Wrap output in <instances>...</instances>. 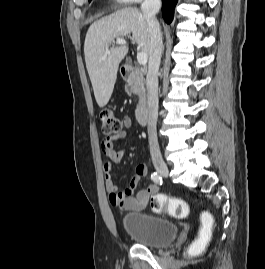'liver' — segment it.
I'll return each mask as SVG.
<instances>
[{
    "mask_svg": "<svg viewBox=\"0 0 265 269\" xmlns=\"http://www.w3.org/2000/svg\"><path fill=\"white\" fill-rule=\"evenodd\" d=\"M132 34L142 52L150 53V32L143 14L135 7L120 9L95 21L88 29L84 55L96 102L104 107L113 92L120 62L128 46L110 47L117 38ZM110 47V49H109ZM106 49L109 53L106 54Z\"/></svg>",
    "mask_w": 265,
    "mask_h": 269,
    "instance_id": "liver-1",
    "label": "liver"
}]
</instances>
